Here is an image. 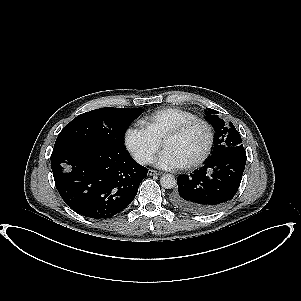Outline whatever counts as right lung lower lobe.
<instances>
[{"mask_svg":"<svg viewBox=\"0 0 301 301\" xmlns=\"http://www.w3.org/2000/svg\"><path fill=\"white\" fill-rule=\"evenodd\" d=\"M51 168L64 202L88 218L106 219L135 198L147 169L126 150L98 142L54 147Z\"/></svg>","mask_w":301,"mask_h":301,"instance_id":"obj_1","label":"right lung lower lobe"}]
</instances>
